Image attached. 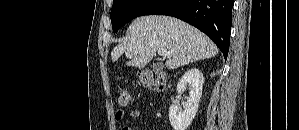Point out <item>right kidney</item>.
<instances>
[{"mask_svg":"<svg viewBox=\"0 0 299 130\" xmlns=\"http://www.w3.org/2000/svg\"><path fill=\"white\" fill-rule=\"evenodd\" d=\"M203 82V75L197 68L187 70L179 80L177 91L182 92L189 85L190 93L184 111L176 104L169 108V120L174 130H186L195 118L202 96Z\"/></svg>","mask_w":299,"mask_h":130,"instance_id":"1","label":"right kidney"}]
</instances>
